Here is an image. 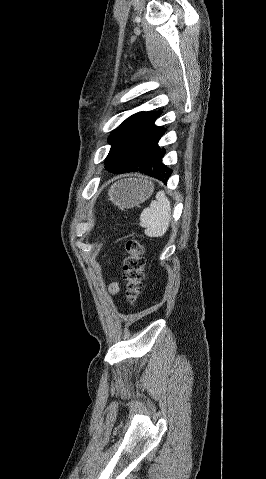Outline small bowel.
<instances>
[{"label":"small bowel","mask_w":266,"mask_h":479,"mask_svg":"<svg viewBox=\"0 0 266 479\" xmlns=\"http://www.w3.org/2000/svg\"><path fill=\"white\" fill-rule=\"evenodd\" d=\"M109 292L111 294H117L119 292V286L116 282H113L109 285Z\"/></svg>","instance_id":"1"}]
</instances>
